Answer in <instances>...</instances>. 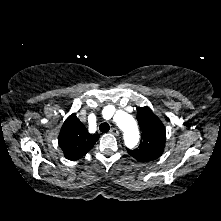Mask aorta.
<instances>
[{
    "instance_id": "1",
    "label": "aorta",
    "mask_w": 221,
    "mask_h": 221,
    "mask_svg": "<svg viewBox=\"0 0 221 221\" xmlns=\"http://www.w3.org/2000/svg\"><path fill=\"white\" fill-rule=\"evenodd\" d=\"M120 129L124 132L125 143L128 147H134L139 141V131L133 117L126 113L116 115L114 119Z\"/></svg>"
}]
</instances>
